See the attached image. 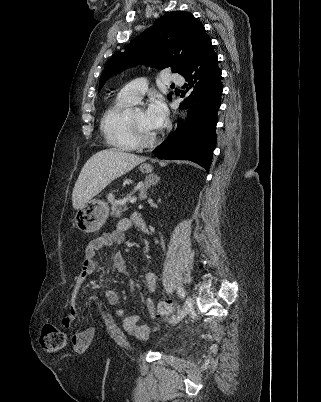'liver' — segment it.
Instances as JSON below:
<instances>
[{"label": "liver", "instance_id": "1", "mask_svg": "<svg viewBox=\"0 0 321 402\" xmlns=\"http://www.w3.org/2000/svg\"><path fill=\"white\" fill-rule=\"evenodd\" d=\"M145 160L116 148L101 150L84 164L72 193V203L79 210L99 194L111 181L132 170Z\"/></svg>", "mask_w": 321, "mask_h": 402}]
</instances>
